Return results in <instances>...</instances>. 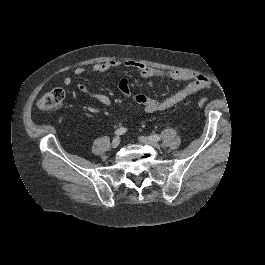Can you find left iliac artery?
<instances>
[{
  "instance_id": "44dca946",
  "label": "left iliac artery",
  "mask_w": 265,
  "mask_h": 265,
  "mask_svg": "<svg viewBox=\"0 0 265 265\" xmlns=\"http://www.w3.org/2000/svg\"><path fill=\"white\" fill-rule=\"evenodd\" d=\"M152 140H154L155 142H158V141H160L161 140V137L159 136V135H157V134H155V135H151V136H149Z\"/></svg>"
}]
</instances>
